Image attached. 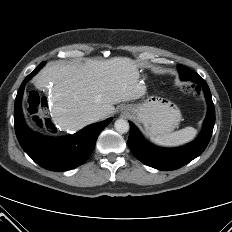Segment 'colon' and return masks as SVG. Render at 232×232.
<instances>
[{"instance_id":"colon-1","label":"colon","mask_w":232,"mask_h":232,"mask_svg":"<svg viewBox=\"0 0 232 232\" xmlns=\"http://www.w3.org/2000/svg\"><path fill=\"white\" fill-rule=\"evenodd\" d=\"M187 94L199 98L200 91L192 85H185L182 87ZM28 110L31 114L32 120L35 124L41 125L44 122V113L46 110V99L36 91H31L28 94Z\"/></svg>"}]
</instances>
